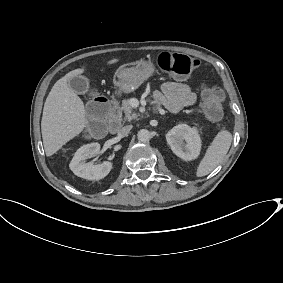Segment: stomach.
<instances>
[{"label":"stomach","mask_w":283,"mask_h":283,"mask_svg":"<svg viewBox=\"0 0 283 283\" xmlns=\"http://www.w3.org/2000/svg\"><path fill=\"white\" fill-rule=\"evenodd\" d=\"M157 73L153 60L140 59L121 65L115 72L113 82L117 94H128L137 90L141 84Z\"/></svg>","instance_id":"stomach-1"}]
</instances>
